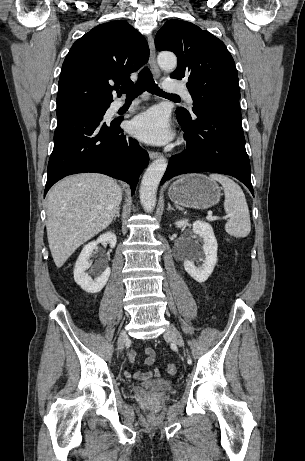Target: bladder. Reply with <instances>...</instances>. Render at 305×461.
Segmentation results:
<instances>
[{"label":"bladder","mask_w":305,"mask_h":461,"mask_svg":"<svg viewBox=\"0 0 305 461\" xmlns=\"http://www.w3.org/2000/svg\"><path fill=\"white\" fill-rule=\"evenodd\" d=\"M140 387L148 392H171L174 390L173 382L165 379H151L141 383Z\"/></svg>","instance_id":"bladder-1"}]
</instances>
